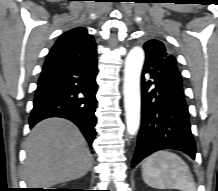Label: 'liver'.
<instances>
[{
    "label": "liver",
    "instance_id": "1",
    "mask_svg": "<svg viewBox=\"0 0 218 191\" xmlns=\"http://www.w3.org/2000/svg\"><path fill=\"white\" fill-rule=\"evenodd\" d=\"M92 163L83 135L68 120H43L28 136L24 177L30 188H46L79 179L87 174Z\"/></svg>",
    "mask_w": 218,
    "mask_h": 191
}]
</instances>
